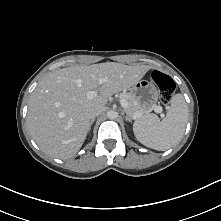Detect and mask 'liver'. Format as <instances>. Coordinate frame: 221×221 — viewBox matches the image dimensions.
<instances>
[{"label":"liver","instance_id":"6515ba94","mask_svg":"<svg viewBox=\"0 0 221 221\" xmlns=\"http://www.w3.org/2000/svg\"><path fill=\"white\" fill-rule=\"evenodd\" d=\"M150 66L107 62L62 68L48 74L31 94L27 125L40 149L51 157L69 159L80 150L91 113L105 108L108 98L132 87ZM105 79L99 84V79ZM100 94L88 98L89 91Z\"/></svg>","mask_w":221,"mask_h":221}]
</instances>
